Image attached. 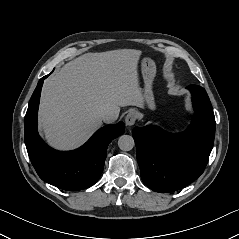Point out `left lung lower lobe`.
Masks as SVG:
<instances>
[{
  "label": "left lung lower lobe",
  "mask_w": 239,
  "mask_h": 239,
  "mask_svg": "<svg viewBox=\"0 0 239 239\" xmlns=\"http://www.w3.org/2000/svg\"><path fill=\"white\" fill-rule=\"evenodd\" d=\"M187 89L196 116L186 131L171 134L158 126H145L132 132L141 178L156 192H173L196 180L213 147L215 117L209 97L200 86Z\"/></svg>",
  "instance_id": "left-lung-lower-lobe-1"
}]
</instances>
